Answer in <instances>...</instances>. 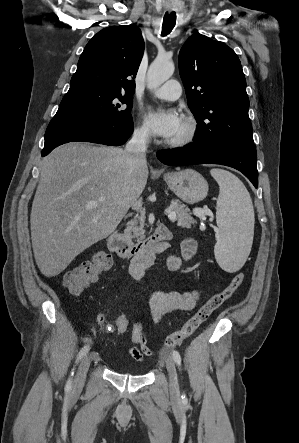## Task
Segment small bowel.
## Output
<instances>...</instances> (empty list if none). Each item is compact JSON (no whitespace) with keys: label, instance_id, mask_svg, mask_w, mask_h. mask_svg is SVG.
Wrapping results in <instances>:
<instances>
[{"label":"small bowel","instance_id":"1","mask_svg":"<svg viewBox=\"0 0 299 443\" xmlns=\"http://www.w3.org/2000/svg\"><path fill=\"white\" fill-rule=\"evenodd\" d=\"M196 248L197 244L193 239L185 240L182 244L181 255H165L167 268L170 271L179 270L186 261L192 258ZM129 273L134 281L143 284L145 268L132 263L129 267ZM143 290L148 293L149 308L155 322H159L165 314L172 311H190L194 309L200 296L198 290H189L182 293L177 291H159L150 290L145 285H143ZM97 322L102 332L114 333L112 324L106 323L103 315H97ZM127 349L136 361H143L145 357L150 356L152 353L147 346L146 339L138 346L129 345Z\"/></svg>","mask_w":299,"mask_h":443}]
</instances>
